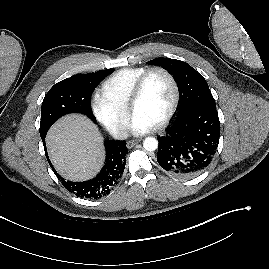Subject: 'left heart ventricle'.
Here are the masks:
<instances>
[{
  "mask_svg": "<svg viewBox=\"0 0 269 269\" xmlns=\"http://www.w3.org/2000/svg\"><path fill=\"white\" fill-rule=\"evenodd\" d=\"M172 99L170 80L163 73L155 72L149 77L133 115L154 126L166 115Z\"/></svg>",
  "mask_w": 269,
  "mask_h": 269,
  "instance_id": "1",
  "label": "left heart ventricle"
}]
</instances>
